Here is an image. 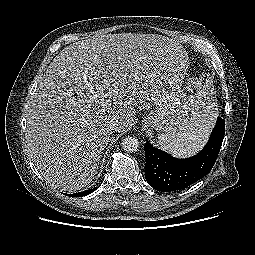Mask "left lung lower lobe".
Wrapping results in <instances>:
<instances>
[{"label": "left lung lower lobe", "instance_id": "obj_1", "mask_svg": "<svg viewBox=\"0 0 255 255\" xmlns=\"http://www.w3.org/2000/svg\"><path fill=\"white\" fill-rule=\"evenodd\" d=\"M225 134V120L217 118L205 147L195 156L178 159L145 143V176L150 186L161 192L187 188L207 175L215 164Z\"/></svg>", "mask_w": 255, "mask_h": 255}]
</instances>
